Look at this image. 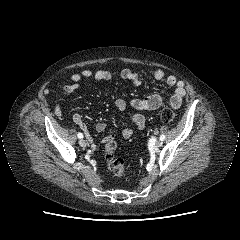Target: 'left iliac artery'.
<instances>
[{
  "mask_svg": "<svg viewBox=\"0 0 240 240\" xmlns=\"http://www.w3.org/2000/svg\"><path fill=\"white\" fill-rule=\"evenodd\" d=\"M160 140H162V141L165 140V135H161Z\"/></svg>",
  "mask_w": 240,
  "mask_h": 240,
  "instance_id": "44dca946",
  "label": "left iliac artery"
}]
</instances>
